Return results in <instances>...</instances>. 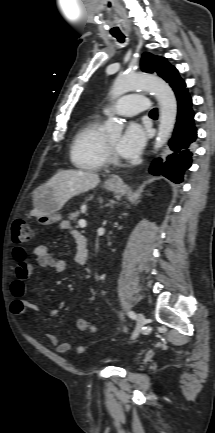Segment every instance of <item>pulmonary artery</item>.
I'll use <instances>...</instances> for the list:
<instances>
[{
    "label": "pulmonary artery",
    "mask_w": 215,
    "mask_h": 433,
    "mask_svg": "<svg viewBox=\"0 0 215 433\" xmlns=\"http://www.w3.org/2000/svg\"><path fill=\"white\" fill-rule=\"evenodd\" d=\"M149 99L143 94L131 93L120 98L112 107H106V114L114 111L120 115L133 116L141 112L151 111Z\"/></svg>",
    "instance_id": "e3ab8cb5"
}]
</instances>
